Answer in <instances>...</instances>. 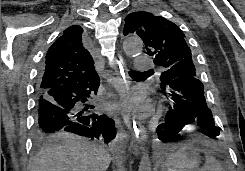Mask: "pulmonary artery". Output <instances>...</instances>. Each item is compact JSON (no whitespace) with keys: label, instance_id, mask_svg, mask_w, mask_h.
I'll return each mask as SVG.
<instances>
[{"label":"pulmonary artery","instance_id":"e3ab8cb5","mask_svg":"<svg viewBox=\"0 0 245 171\" xmlns=\"http://www.w3.org/2000/svg\"><path fill=\"white\" fill-rule=\"evenodd\" d=\"M137 70H146L152 66L151 60L146 55H138L134 58Z\"/></svg>","mask_w":245,"mask_h":171}]
</instances>
